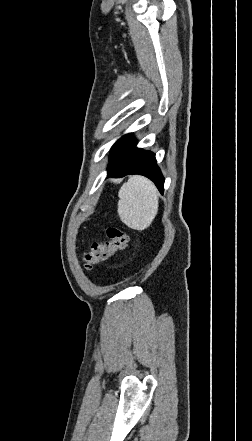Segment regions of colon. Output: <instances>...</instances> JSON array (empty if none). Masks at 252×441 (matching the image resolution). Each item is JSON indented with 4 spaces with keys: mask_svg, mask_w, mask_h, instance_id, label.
Returning <instances> with one entry per match:
<instances>
[{
    "mask_svg": "<svg viewBox=\"0 0 252 441\" xmlns=\"http://www.w3.org/2000/svg\"><path fill=\"white\" fill-rule=\"evenodd\" d=\"M106 234V241L93 243L90 250L83 254L82 264L86 270L93 269L116 252L126 248L128 236L121 228L109 227Z\"/></svg>",
    "mask_w": 252,
    "mask_h": 441,
    "instance_id": "colon-1",
    "label": "colon"
}]
</instances>
